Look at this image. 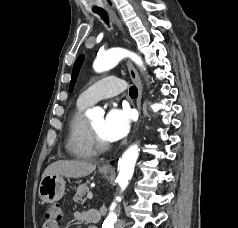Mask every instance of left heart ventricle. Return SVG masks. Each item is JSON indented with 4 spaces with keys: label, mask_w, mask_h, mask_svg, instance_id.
Here are the masks:
<instances>
[{
    "label": "left heart ventricle",
    "mask_w": 238,
    "mask_h": 228,
    "mask_svg": "<svg viewBox=\"0 0 238 228\" xmlns=\"http://www.w3.org/2000/svg\"><path fill=\"white\" fill-rule=\"evenodd\" d=\"M103 125H104V119L103 118H98L94 121L91 122V126L93 129L96 131V133L106 141L103 135Z\"/></svg>",
    "instance_id": "left-heart-ventricle-1"
}]
</instances>
